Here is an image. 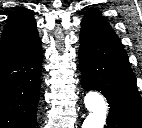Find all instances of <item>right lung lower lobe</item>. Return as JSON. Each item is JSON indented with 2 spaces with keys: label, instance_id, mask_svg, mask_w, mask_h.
Instances as JSON below:
<instances>
[{
  "label": "right lung lower lobe",
  "instance_id": "98d812e1",
  "mask_svg": "<svg viewBox=\"0 0 142 128\" xmlns=\"http://www.w3.org/2000/svg\"><path fill=\"white\" fill-rule=\"evenodd\" d=\"M41 40L0 64V128H35L42 71Z\"/></svg>",
  "mask_w": 142,
  "mask_h": 128
}]
</instances>
